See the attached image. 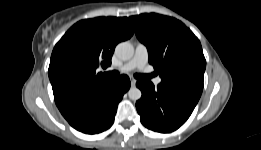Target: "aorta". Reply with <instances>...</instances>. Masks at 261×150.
Masks as SVG:
<instances>
[{
    "label": "aorta",
    "instance_id": "762f6f07",
    "mask_svg": "<svg viewBox=\"0 0 261 150\" xmlns=\"http://www.w3.org/2000/svg\"><path fill=\"white\" fill-rule=\"evenodd\" d=\"M116 55L122 60H129L134 54V47L130 42H121L115 48ZM128 96L131 100L137 101L141 98V90L137 87H131L128 91Z\"/></svg>",
    "mask_w": 261,
    "mask_h": 150
}]
</instances>
